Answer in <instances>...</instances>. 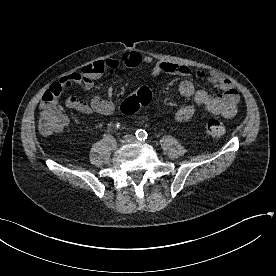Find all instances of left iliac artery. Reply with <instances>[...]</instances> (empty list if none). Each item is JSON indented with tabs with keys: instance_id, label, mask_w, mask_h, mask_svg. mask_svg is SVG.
Masks as SVG:
<instances>
[{
	"instance_id": "left-iliac-artery-1",
	"label": "left iliac artery",
	"mask_w": 276,
	"mask_h": 276,
	"mask_svg": "<svg viewBox=\"0 0 276 276\" xmlns=\"http://www.w3.org/2000/svg\"><path fill=\"white\" fill-rule=\"evenodd\" d=\"M136 137L138 140L142 141L147 139L148 134L145 130L139 129L136 131Z\"/></svg>"
}]
</instances>
